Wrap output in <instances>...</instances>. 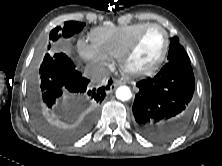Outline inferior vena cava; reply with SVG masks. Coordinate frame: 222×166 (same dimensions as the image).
<instances>
[{"mask_svg":"<svg viewBox=\"0 0 222 166\" xmlns=\"http://www.w3.org/2000/svg\"><path fill=\"white\" fill-rule=\"evenodd\" d=\"M108 74L109 72L107 68L103 66L88 65L84 70V76L94 82L103 81L108 76Z\"/></svg>","mask_w":222,"mask_h":166,"instance_id":"1","label":"inferior vena cava"}]
</instances>
